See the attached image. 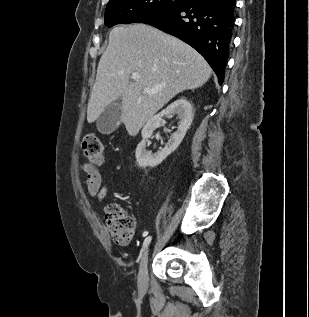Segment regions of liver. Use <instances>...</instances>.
Returning <instances> with one entry per match:
<instances>
[{
    "label": "liver",
    "instance_id": "6515ba94",
    "mask_svg": "<svg viewBox=\"0 0 309 317\" xmlns=\"http://www.w3.org/2000/svg\"><path fill=\"white\" fill-rule=\"evenodd\" d=\"M133 73L140 78L133 80ZM211 73L205 59L176 37L140 23L114 27L98 64L87 121L94 122L121 99V121L135 136L173 97L203 86ZM144 88L161 89L148 93Z\"/></svg>",
    "mask_w": 309,
    "mask_h": 317
}]
</instances>
